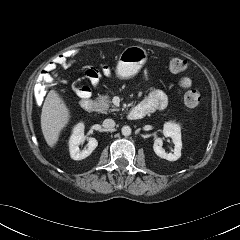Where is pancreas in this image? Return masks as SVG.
Listing matches in <instances>:
<instances>
[{
  "instance_id": "1",
  "label": "pancreas",
  "mask_w": 240,
  "mask_h": 240,
  "mask_svg": "<svg viewBox=\"0 0 240 240\" xmlns=\"http://www.w3.org/2000/svg\"><path fill=\"white\" fill-rule=\"evenodd\" d=\"M96 110L100 113L114 112L119 109L112 105V101L108 95L99 96L95 100Z\"/></svg>"
}]
</instances>
